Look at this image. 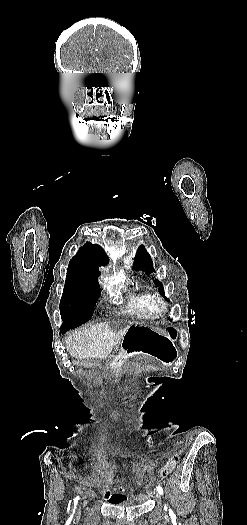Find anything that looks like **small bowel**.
Returning <instances> with one entry per match:
<instances>
[{
	"label": "small bowel",
	"instance_id": "c3829d8e",
	"mask_svg": "<svg viewBox=\"0 0 247 525\" xmlns=\"http://www.w3.org/2000/svg\"><path fill=\"white\" fill-rule=\"evenodd\" d=\"M177 459H178V456L175 455V456H172L168 461L167 463L161 468V470L159 471L158 475L161 476L165 473H167L168 471H170L174 465L176 464L177 462ZM111 504L114 505V506H118L121 504L122 502V496L120 495H112V496H109L108 497Z\"/></svg>",
	"mask_w": 247,
	"mask_h": 525
}]
</instances>
